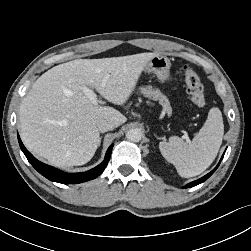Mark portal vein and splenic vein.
I'll return each instance as SVG.
<instances>
[{"label":"portal vein and splenic vein","instance_id":"obj_1","mask_svg":"<svg viewBox=\"0 0 251 251\" xmlns=\"http://www.w3.org/2000/svg\"><path fill=\"white\" fill-rule=\"evenodd\" d=\"M105 81L106 80H104L102 82V87L105 86ZM82 90H83V93L90 99V101L92 102V104H94V105L98 104V97H97V95L92 90H90L87 87H84ZM184 138L189 142V138H188V136L186 134L184 135Z\"/></svg>","mask_w":251,"mask_h":251}]
</instances>
